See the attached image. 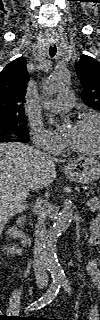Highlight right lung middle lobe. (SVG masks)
Masks as SVG:
<instances>
[{
  "label": "right lung middle lobe",
  "mask_w": 100,
  "mask_h": 320,
  "mask_svg": "<svg viewBox=\"0 0 100 320\" xmlns=\"http://www.w3.org/2000/svg\"><path fill=\"white\" fill-rule=\"evenodd\" d=\"M0 135L2 142L7 140H14L18 138L19 141L27 142L29 140L26 117H14L0 120ZM16 136V137H15Z\"/></svg>",
  "instance_id": "obj_1"
}]
</instances>
